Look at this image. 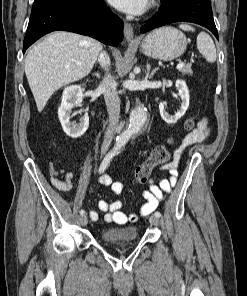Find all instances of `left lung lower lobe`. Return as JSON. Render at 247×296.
Wrapping results in <instances>:
<instances>
[{"instance_id": "obj_1", "label": "left lung lower lobe", "mask_w": 247, "mask_h": 296, "mask_svg": "<svg viewBox=\"0 0 247 296\" xmlns=\"http://www.w3.org/2000/svg\"><path fill=\"white\" fill-rule=\"evenodd\" d=\"M186 21L208 28L218 39L210 0H161L159 11L141 27L145 33L165 24Z\"/></svg>"}]
</instances>
